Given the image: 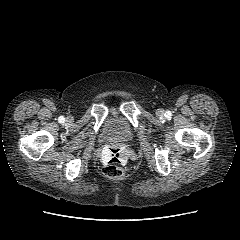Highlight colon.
Returning <instances> with one entry per match:
<instances>
[{
  "label": "colon",
  "instance_id": "colon-1",
  "mask_svg": "<svg viewBox=\"0 0 240 240\" xmlns=\"http://www.w3.org/2000/svg\"><path fill=\"white\" fill-rule=\"evenodd\" d=\"M103 174L110 179H118L124 174L123 159L117 151H113L107 158L102 168Z\"/></svg>",
  "mask_w": 240,
  "mask_h": 240
}]
</instances>
